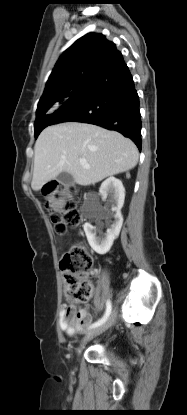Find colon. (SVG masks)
Returning <instances> with one entry per match:
<instances>
[{"instance_id":"5ec220e1","label":"colon","mask_w":187,"mask_h":415,"mask_svg":"<svg viewBox=\"0 0 187 415\" xmlns=\"http://www.w3.org/2000/svg\"><path fill=\"white\" fill-rule=\"evenodd\" d=\"M43 193L56 233L64 234L68 228L79 225L81 217L75 204V187L51 181L44 186ZM92 264V257L83 246L73 247L60 262L67 298L72 305L85 303L92 297L93 285L86 278Z\"/></svg>"}]
</instances>
